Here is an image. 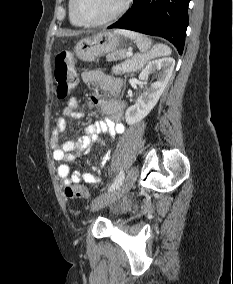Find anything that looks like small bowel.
Instances as JSON below:
<instances>
[{"mask_svg":"<svg viewBox=\"0 0 233 284\" xmlns=\"http://www.w3.org/2000/svg\"><path fill=\"white\" fill-rule=\"evenodd\" d=\"M82 81L89 85H95L106 92L110 98L92 96L91 102L101 108L106 118L94 124L85 127L83 135L77 140L63 141V133L66 129L65 117L79 119L82 112L78 110V100L71 98L62 110V116L56 121V126L51 134V148L55 161L62 162L57 168V175L66 187L74 186L80 182L96 183L99 181V174L90 172L71 171L69 162L77 155L86 151L95 141L100 133H106L111 136L122 134L125 127L121 122L123 105L114 99L121 90L122 83L119 80L111 78L101 71L88 70L81 74ZM110 151H107L102 158L101 167L110 160Z\"/></svg>","mask_w":233,"mask_h":284,"instance_id":"c3829d8e","label":"small bowel"}]
</instances>
